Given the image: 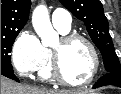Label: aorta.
<instances>
[{
    "label": "aorta",
    "mask_w": 121,
    "mask_h": 94,
    "mask_svg": "<svg viewBox=\"0 0 121 94\" xmlns=\"http://www.w3.org/2000/svg\"><path fill=\"white\" fill-rule=\"evenodd\" d=\"M32 24L44 47L51 46L57 41L58 33L52 27L49 12L45 5H39L34 9Z\"/></svg>",
    "instance_id": "aorta-1"
}]
</instances>
